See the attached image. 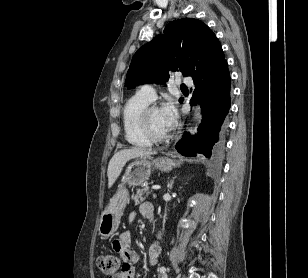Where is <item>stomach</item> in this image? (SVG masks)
I'll list each match as a JSON object with an SVG mask.
<instances>
[{
  "label": "stomach",
  "instance_id": "stomach-1",
  "mask_svg": "<svg viewBox=\"0 0 308 278\" xmlns=\"http://www.w3.org/2000/svg\"><path fill=\"white\" fill-rule=\"evenodd\" d=\"M177 166H179V163L168 157L154 159L150 156H145L129 163L125 168L116 194L110 199L109 204L101 214L98 227L99 235L107 238L118 229L123 211L129 202V192L126 189L127 184L129 186L141 185L150 177L152 167L169 172Z\"/></svg>",
  "mask_w": 308,
  "mask_h": 278
}]
</instances>
